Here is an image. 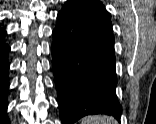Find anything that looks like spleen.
<instances>
[{
    "label": "spleen",
    "mask_w": 156,
    "mask_h": 124,
    "mask_svg": "<svg viewBox=\"0 0 156 124\" xmlns=\"http://www.w3.org/2000/svg\"><path fill=\"white\" fill-rule=\"evenodd\" d=\"M81 124H118L113 118L106 115H93L84 117Z\"/></svg>",
    "instance_id": "spleen-1"
}]
</instances>
